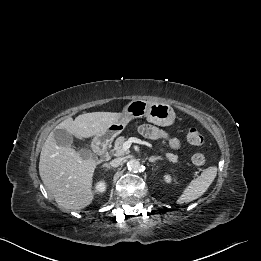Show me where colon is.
Here are the masks:
<instances>
[{"mask_svg": "<svg viewBox=\"0 0 261 261\" xmlns=\"http://www.w3.org/2000/svg\"><path fill=\"white\" fill-rule=\"evenodd\" d=\"M186 141L192 146H199L203 143V136L196 127H190L186 133ZM207 161V156L202 152H196L192 156V162L201 166L204 165Z\"/></svg>", "mask_w": 261, "mask_h": 261, "instance_id": "obj_1", "label": "colon"}]
</instances>
